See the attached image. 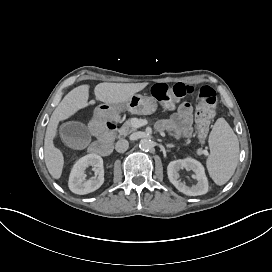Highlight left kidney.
<instances>
[{"label":"left kidney","mask_w":272,"mask_h":272,"mask_svg":"<svg viewBox=\"0 0 272 272\" xmlns=\"http://www.w3.org/2000/svg\"><path fill=\"white\" fill-rule=\"evenodd\" d=\"M186 169L195 173L197 183L187 186L179 180V170ZM167 173L170 182L182 193L188 196H198L206 194L208 191V182L204 173L203 166L196 160L186 158L184 160L171 161L167 166Z\"/></svg>","instance_id":"obj_1"}]
</instances>
